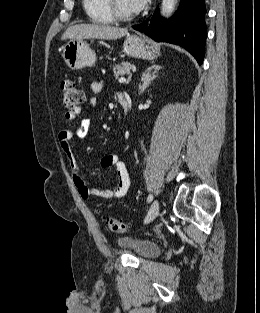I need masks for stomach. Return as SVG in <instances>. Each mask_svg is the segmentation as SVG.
Listing matches in <instances>:
<instances>
[{"label": "stomach", "instance_id": "1", "mask_svg": "<svg viewBox=\"0 0 260 313\" xmlns=\"http://www.w3.org/2000/svg\"><path fill=\"white\" fill-rule=\"evenodd\" d=\"M123 51L136 58L153 60L159 54V47L150 39L141 35H128L123 44ZM62 57L72 69H82L96 63V54L85 40L71 39L63 46Z\"/></svg>", "mask_w": 260, "mask_h": 313}]
</instances>
